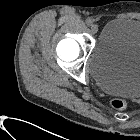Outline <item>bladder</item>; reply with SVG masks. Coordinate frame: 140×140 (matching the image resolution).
<instances>
[{"label": "bladder", "mask_w": 140, "mask_h": 140, "mask_svg": "<svg viewBox=\"0 0 140 140\" xmlns=\"http://www.w3.org/2000/svg\"><path fill=\"white\" fill-rule=\"evenodd\" d=\"M89 65L104 91L140 96V20L115 18L107 22L91 52Z\"/></svg>", "instance_id": "1"}]
</instances>
